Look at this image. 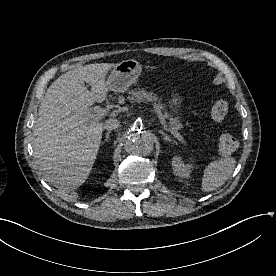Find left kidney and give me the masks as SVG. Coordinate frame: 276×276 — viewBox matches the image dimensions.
I'll return each instance as SVG.
<instances>
[{"label":"left kidney","instance_id":"1","mask_svg":"<svg viewBox=\"0 0 276 276\" xmlns=\"http://www.w3.org/2000/svg\"><path fill=\"white\" fill-rule=\"evenodd\" d=\"M172 167L176 176H179L181 178H189L193 165L184 164L180 156H174L172 159Z\"/></svg>","mask_w":276,"mask_h":276}]
</instances>
